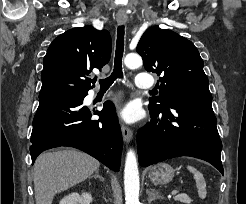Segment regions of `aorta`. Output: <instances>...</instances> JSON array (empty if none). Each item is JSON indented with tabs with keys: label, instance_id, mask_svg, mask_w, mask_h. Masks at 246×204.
<instances>
[{
	"label": "aorta",
	"instance_id": "aorta-1",
	"mask_svg": "<svg viewBox=\"0 0 246 204\" xmlns=\"http://www.w3.org/2000/svg\"><path fill=\"white\" fill-rule=\"evenodd\" d=\"M124 63L129 68H138L142 65V58L138 54H128L124 59ZM139 171L137 158L133 150H129L126 155L124 169V190L125 204L139 203Z\"/></svg>",
	"mask_w": 246,
	"mask_h": 204
}]
</instances>
